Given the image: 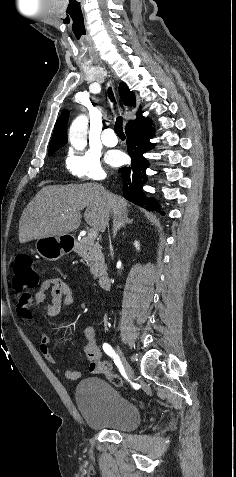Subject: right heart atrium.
Wrapping results in <instances>:
<instances>
[{"label": "right heart atrium", "mask_w": 236, "mask_h": 477, "mask_svg": "<svg viewBox=\"0 0 236 477\" xmlns=\"http://www.w3.org/2000/svg\"><path fill=\"white\" fill-rule=\"evenodd\" d=\"M65 168L73 177L83 181H101L106 173L93 152L72 149L65 158Z\"/></svg>", "instance_id": "1"}]
</instances>
